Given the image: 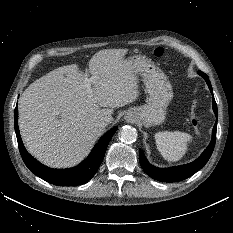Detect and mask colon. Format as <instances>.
<instances>
[{
	"mask_svg": "<svg viewBox=\"0 0 233 233\" xmlns=\"http://www.w3.org/2000/svg\"><path fill=\"white\" fill-rule=\"evenodd\" d=\"M154 56L157 57V58H164L166 60L169 59V57L165 54L164 52V49L163 48H156L153 52ZM197 107V101L194 100L193 103H192V113H191V116H190V123L191 125L193 126L194 129H198L199 127V121L196 117V115L194 114V110L196 109Z\"/></svg>",
	"mask_w": 233,
	"mask_h": 233,
	"instance_id": "5ec220e1",
	"label": "colon"
}]
</instances>
